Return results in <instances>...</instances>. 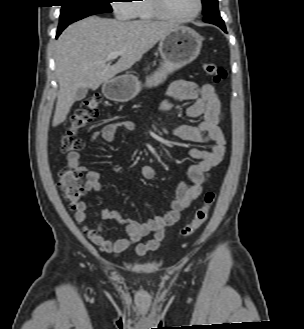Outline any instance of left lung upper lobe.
Wrapping results in <instances>:
<instances>
[{"mask_svg":"<svg viewBox=\"0 0 304 329\" xmlns=\"http://www.w3.org/2000/svg\"><path fill=\"white\" fill-rule=\"evenodd\" d=\"M203 3V14L207 13L214 7L218 6V0H202Z\"/></svg>","mask_w":304,"mask_h":329,"instance_id":"5c2ea615","label":"left lung upper lobe"}]
</instances>
